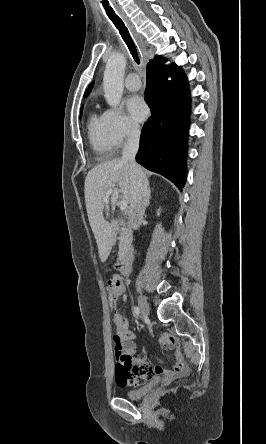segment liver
<instances>
[{
  "instance_id": "6515ba94",
  "label": "liver",
  "mask_w": 266,
  "mask_h": 444,
  "mask_svg": "<svg viewBox=\"0 0 266 444\" xmlns=\"http://www.w3.org/2000/svg\"><path fill=\"white\" fill-rule=\"evenodd\" d=\"M117 186L120 187V190L116 188ZM133 188L134 174L130 163L122 159L98 164L86 176L84 189L86 209L101 262H105L111 252L116 231L115 220L112 219L111 222H108L104 218L103 213L107 204L104 202L106 193L113 189L111 206L114 211L119 191L131 203Z\"/></svg>"
}]
</instances>
